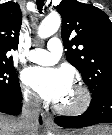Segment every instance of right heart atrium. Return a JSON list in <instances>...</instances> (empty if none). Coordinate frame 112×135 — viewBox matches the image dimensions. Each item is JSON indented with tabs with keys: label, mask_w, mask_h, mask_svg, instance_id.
Wrapping results in <instances>:
<instances>
[{
	"label": "right heart atrium",
	"mask_w": 112,
	"mask_h": 135,
	"mask_svg": "<svg viewBox=\"0 0 112 135\" xmlns=\"http://www.w3.org/2000/svg\"><path fill=\"white\" fill-rule=\"evenodd\" d=\"M22 97L24 103L31 107H36L39 104L38 97L27 87L22 88Z\"/></svg>",
	"instance_id": "right-heart-atrium-1"
}]
</instances>
